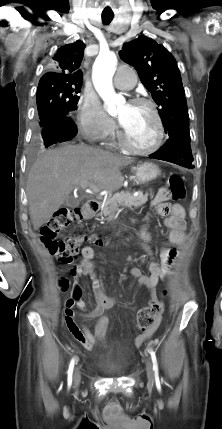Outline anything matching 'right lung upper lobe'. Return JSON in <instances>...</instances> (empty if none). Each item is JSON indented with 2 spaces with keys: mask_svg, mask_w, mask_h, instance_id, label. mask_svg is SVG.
Wrapping results in <instances>:
<instances>
[{
  "mask_svg": "<svg viewBox=\"0 0 222 429\" xmlns=\"http://www.w3.org/2000/svg\"><path fill=\"white\" fill-rule=\"evenodd\" d=\"M85 44L76 41L59 48L52 58V71L44 74L40 81H74L82 82L83 74L79 69Z\"/></svg>",
  "mask_w": 222,
  "mask_h": 429,
  "instance_id": "cb5924a9",
  "label": "right lung upper lobe"
}]
</instances>
